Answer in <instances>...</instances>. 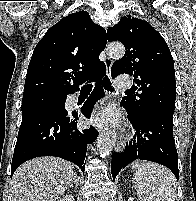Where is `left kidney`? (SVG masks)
I'll list each match as a JSON object with an SVG mask.
<instances>
[{
	"mask_svg": "<svg viewBox=\"0 0 196 201\" xmlns=\"http://www.w3.org/2000/svg\"><path fill=\"white\" fill-rule=\"evenodd\" d=\"M134 198H129L128 201H133Z\"/></svg>",
	"mask_w": 196,
	"mask_h": 201,
	"instance_id": "obj_1",
	"label": "left kidney"
}]
</instances>
